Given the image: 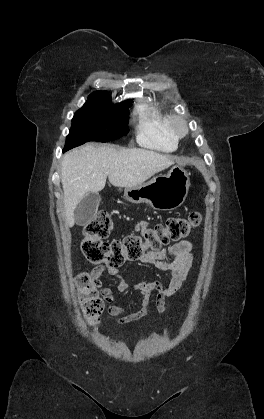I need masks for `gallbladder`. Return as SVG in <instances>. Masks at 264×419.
<instances>
[{"label":"gallbladder","mask_w":264,"mask_h":419,"mask_svg":"<svg viewBox=\"0 0 264 419\" xmlns=\"http://www.w3.org/2000/svg\"><path fill=\"white\" fill-rule=\"evenodd\" d=\"M100 201L101 197L98 193H87L75 208V223L79 226L88 224L95 216Z\"/></svg>","instance_id":"bac80fb5"}]
</instances>
